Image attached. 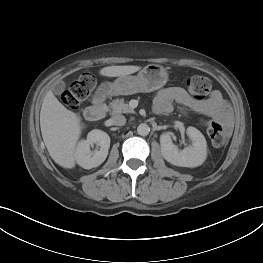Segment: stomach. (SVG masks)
Segmentation results:
<instances>
[{
	"instance_id": "obj_1",
	"label": "stomach",
	"mask_w": 263,
	"mask_h": 263,
	"mask_svg": "<svg viewBox=\"0 0 263 263\" xmlns=\"http://www.w3.org/2000/svg\"><path fill=\"white\" fill-rule=\"evenodd\" d=\"M168 80L164 67L149 64L138 72L136 76L124 75L114 82H103L97 93L101 96L131 95L139 92H152L163 87Z\"/></svg>"
}]
</instances>
